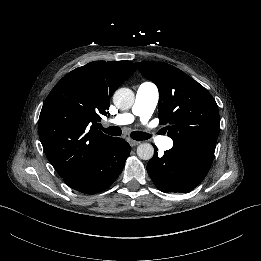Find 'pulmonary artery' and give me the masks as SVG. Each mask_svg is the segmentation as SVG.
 Wrapping results in <instances>:
<instances>
[{
	"label": "pulmonary artery",
	"instance_id": "pulmonary-artery-1",
	"mask_svg": "<svg viewBox=\"0 0 261 261\" xmlns=\"http://www.w3.org/2000/svg\"><path fill=\"white\" fill-rule=\"evenodd\" d=\"M158 101L159 91L157 87L148 81L141 83L136 92L133 108L134 115L139 116L143 122L147 121L153 114ZM132 121L133 115L127 113L120 114L111 120L112 123L117 125L128 124ZM157 145L167 151H172L175 148L174 141L165 137L158 138Z\"/></svg>",
	"mask_w": 261,
	"mask_h": 261
}]
</instances>
